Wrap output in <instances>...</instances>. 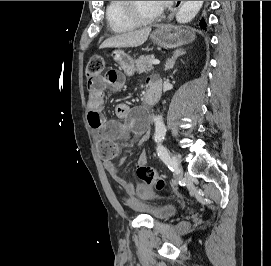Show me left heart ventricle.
Instances as JSON below:
<instances>
[{"label": "left heart ventricle", "mask_w": 271, "mask_h": 266, "mask_svg": "<svg viewBox=\"0 0 271 266\" xmlns=\"http://www.w3.org/2000/svg\"><path fill=\"white\" fill-rule=\"evenodd\" d=\"M134 6L143 17H151L161 10L156 1H134Z\"/></svg>", "instance_id": "obj_1"}]
</instances>
